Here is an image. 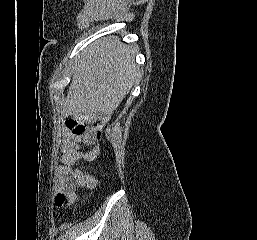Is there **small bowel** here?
Returning <instances> with one entry per match:
<instances>
[{
    "label": "small bowel",
    "mask_w": 257,
    "mask_h": 240,
    "mask_svg": "<svg viewBox=\"0 0 257 240\" xmlns=\"http://www.w3.org/2000/svg\"><path fill=\"white\" fill-rule=\"evenodd\" d=\"M97 139V133L93 127L88 128L80 135L74 134L70 130L64 132L61 143L62 164L55 171V187L58 195L75 192L76 186L83 182L85 172L80 164L93 160L100 153L101 148L95 147L84 151L82 145L95 144Z\"/></svg>",
    "instance_id": "c3829d8e"
}]
</instances>
